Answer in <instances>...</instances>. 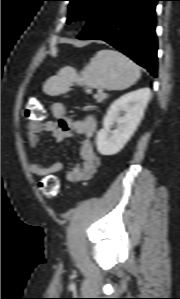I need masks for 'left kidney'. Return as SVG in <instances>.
<instances>
[{"label": "left kidney", "mask_w": 180, "mask_h": 299, "mask_svg": "<svg viewBox=\"0 0 180 299\" xmlns=\"http://www.w3.org/2000/svg\"><path fill=\"white\" fill-rule=\"evenodd\" d=\"M150 99V89L127 93L115 100L103 120V128L96 136L97 150L102 155L117 154L134 134ZM124 112L123 116L120 113ZM116 123V129L111 130Z\"/></svg>", "instance_id": "obj_1"}]
</instances>
